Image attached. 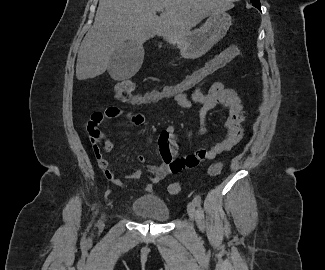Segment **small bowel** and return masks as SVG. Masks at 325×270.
Here are the masks:
<instances>
[{"instance_id":"obj_1","label":"small bowel","mask_w":325,"mask_h":270,"mask_svg":"<svg viewBox=\"0 0 325 270\" xmlns=\"http://www.w3.org/2000/svg\"><path fill=\"white\" fill-rule=\"evenodd\" d=\"M206 80L207 79H205V81ZM204 83H202V86ZM202 86L198 87L197 90H192L190 96L187 93H183L182 96H175L174 101L179 107L184 109L190 108L192 103L200 105L202 117H204L208 111L216 107L226 108L227 119L225 121L226 132L224 137L208 150L202 149L194 154L178 159L176 157L178 152V142L175 127L171 125L166 127L158 137L159 153L162 158V163L160 165H146L147 170L152 176L150 178V183L144 187L145 191H152L154 186L161 182L171 172L177 173L186 168H193L197 166L200 161L213 160L220 153L231 150L242 137V122L244 120L243 106L237 93L233 89L225 87L220 81H215L207 92L203 91ZM136 96H145V94L141 93ZM148 104L154 103H131V105L135 106ZM123 116H126L127 124L129 126L141 127L145 124V118L142 114L127 113L116 106L108 107L103 113H93L89 122L95 123L96 128L99 129V126L104 119H117ZM207 133L208 130L204 121H202L200 135L204 136ZM100 139L97 140L95 144L92 143L98 165L114 185L122 187V181L113 177L112 172L109 169V163L103 156V152H109L113 149V143L110 140H105L104 144L100 147L98 145ZM137 160L143 164L145 163L146 158L144 155H138ZM140 175L141 173L136 171L131 173L128 178L138 179L140 178Z\"/></svg>"}]
</instances>
